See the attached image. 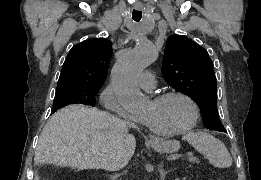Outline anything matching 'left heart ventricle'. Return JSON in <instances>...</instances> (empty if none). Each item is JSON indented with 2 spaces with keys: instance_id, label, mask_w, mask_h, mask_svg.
I'll return each mask as SVG.
<instances>
[{
  "instance_id": "left-heart-ventricle-1",
  "label": "left heart ventricle",
  "mask_w": 261,
  "mask_h": 180,
  "mask_svg": "<svg viewBox=\"0 0 261 180\" xmlns=\"http://www.w3.org/2000/svg\"><path fill=\"white\" fill-rule=\"evenodd\" d=\"M136 117L154 135L168 136L186 127L191 117V108L184 99L177 96L156 102L148 97L144 109L136 113Z\"/></svg>"
}]
</instances>
